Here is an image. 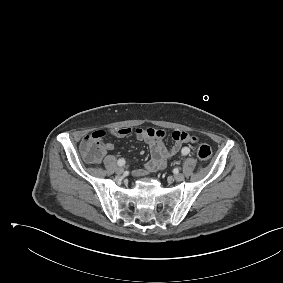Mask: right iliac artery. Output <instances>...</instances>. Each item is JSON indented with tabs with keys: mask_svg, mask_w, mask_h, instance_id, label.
<instances>
[{
	"mask_svg": "<svg viewBox=\"0 0 283 283\" xmlns=\"http://www.w3.org/2000/svg\"><path fill=\"white\" fill-rule=\"evenodd\" d=\"M117 164L119 166H124L125 165V160L123 158H121V159L118 160Z\"/></svg>",
	"mask_w": 283,
	"mask_h": 283,
	"instance_id": "obj_1",
	"label": "right iliac artery"
}]
</instances>
